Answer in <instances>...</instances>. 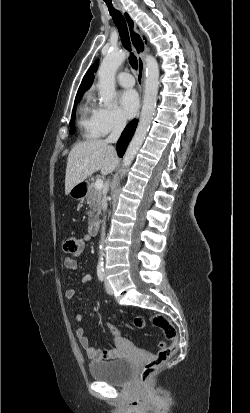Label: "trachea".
<instances>
[{"label": "trachea", "instance_id": "1", "mask_svg": "<svg viewBox=\"0 0 250 413\" xmlns=\"http://www.w3.org/2000/svg\"><path fill=\"white\" fill-rule=\"evenodd\" d=\"M110 15L112 16V19L119 31L120 38L122 45L125 49L128 51H131V43H130V38L128 34V29L126 25V21L120 11L116 10L111 3H107ZM129 63L132 66V68L137 69L138 67V61L136 56L133 53H130L129 56Z\"/></svg>", "mask_w": 250, "mask_h": 413}]
</instances>
